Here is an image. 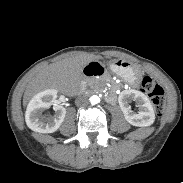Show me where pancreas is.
Instances as JSON below:
<instances>
[{
  "label": "pancreas",
  "mask_w": 183,
  "mask_h": 183,
  "mask_svg": "<svg viewBox=\"0 0 183 183\" xmlns=\"http://www.w3.org/2000/svg\"><path fill=\"white\" fill-rule=\"evenodd\" d=\"M98 83V80H91L90 82H89V85L91 86V87H93L94 85H96Z\"/></svg>",
  "instance_id": "1"
}]
</instances>
